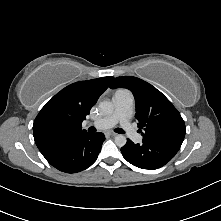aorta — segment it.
<instances>
[{
  "label": "aorta",
  "instance_id": "obj_1",
  "mask_svg": "<svg viewBox=\"0 0 221 221\" xmlns=\"http://www.w3.org/2000/svg\"><path fill=\"white\" fill-rule=\"evenodd\" d=\"M99 110L102 114L108 115L111 114L114 110V105L110 101H102L99 103ZM127 139L124 135H117L115 137V144L118 147H123L126 145Z\"/></svg>",
  "mask_w": 221,
  "mask_h": 221
}]
</instances>
